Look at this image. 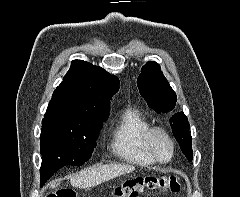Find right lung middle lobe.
Segmentation results:
<instances>
[{"label":"right lung middle lobe","instance_id":"right-lung-middle-lobe-1","mask_svg":"<svg viewBox=\"0 0 240 197\" xmlns=\"http://www.w3.org/2000/svg\"><path fill=\"white\" fill-rule=\"evenodd\" d=\"M102 120L84 122L43 119L40 136L41 186L61 167L80 166L88 161L96 146Z\"/></svg>","mask_w":240,"mask_h":197}]
</instances>
